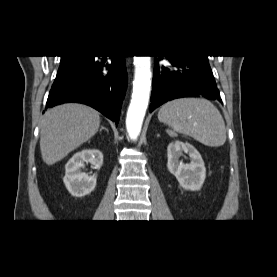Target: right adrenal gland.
<instances>
[{
    "label": "right adrenal gland",
    "instance_id": "obj_1",
    "mask_svg": "<svg viewBox=\"0 0 277 277\" xmlns=\"http://www.w3.org/2000/svg\"><path fill=\"white\" fill-rule=\"evenodd\" d=\"M102 130H105V131H107V132H108V129H107V128H105V127H103V126L100 128V132H101Z\"/></svg>",
    "mask_w": 277,
    "mask_h": 277
}]
</instances>
